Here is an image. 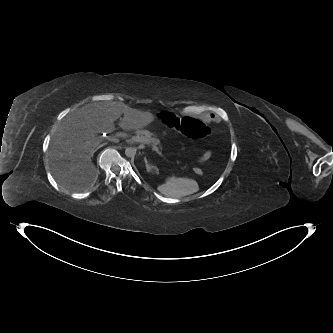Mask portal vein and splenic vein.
<instances>
[{
    "label": "portal vein and splenic vein",
    "instance_id": "portal-vein-and-splenic-vein-1",
    "mask_svg": "<svg viewBox=\"0 0 333 333\" xmlns=\"http://www.w3.org/2000/svg\"><path fill=\"white\" fill-rule=\"evenodd\" d=\"M123 137L126 138L127 135H123ZM131 140L134 141V142H140V143H146V144L150 143L148 139H146L144 137H139V136H134V137L131 138ZM153 149H154V151H156L157 154L162 156L161 152L159 151V149L155 145H153Z\"/></svg>",
    "mask_w": 333,
    "mask_h": 333
}]
</instances>
